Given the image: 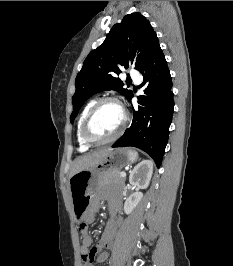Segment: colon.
I'll list each match as a JSON object with an SVG mask.
<instances>
[{
	"instance_id": "1",
	"label": "colon",
	"mask_w": 233,
	"mask_h": 266,
	"mask_svg": "<svg viewBox=\"0 0 233 266\" xmlns=\"http://www.w3.org/2000/svg\"><path fill=\"white\" fill-rule=\"evenodd\" d=\"M86 229H87L86 223L85 222H81L80 223V230H81V232L84 231V230H86ZM84 260H85L86 263H90L91 260H92V255L91 254L85 255L84 256Z\"/></svg>"
}]
</instances>
